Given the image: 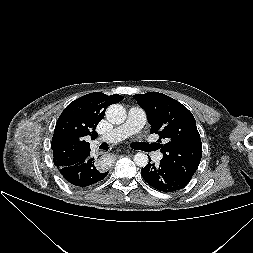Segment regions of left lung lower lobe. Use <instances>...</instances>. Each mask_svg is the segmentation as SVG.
Listing matches in <instances>:
<instances>
[{
	"label": "left lung lower lobe",
	"instance_id": "1",
	"mask_svg": "<svg viewBox=\"0 0 253 253\" xmlns=\"http://www.w3.org/2000/svg\"><path fill=\"white\" fill-rule=\"evenodd\" d=\"M149 163L141 169L143 179L153 188L163 192H173L184 188L189 181L172 171L166 164L159 165Z\"/></svg>",
	"mask_w": 253,
	"mask_h": 253
}]
</instances>
